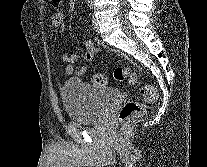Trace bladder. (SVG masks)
<instances>
[{
	"mask_svg": "<svg viewBox=\"0 0 207 167\" xmlns=\"http://www.w3.org/2000/svg\"><path fill=\"white\" fill-rule=\"evenodd\" d=\"M118 97L119 92L115 89L93 86L79 79H68L61 89V98L67 116L77 123H92L100 120Z\"/></svg>",
	"mask_w": 207,
	"mask_h": 167,
	"instance_id": "31cf9c89",
	"label": "bladder"
}]
</instances>
